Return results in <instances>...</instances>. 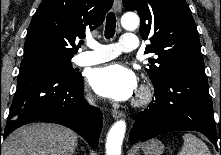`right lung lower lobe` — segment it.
I'll list each match as a JSON object with an SVG mask.
<instances>
[{"instance_id":"1","label":"right lung lower lobe","mask_w":221,"mask_h":155,"mask_svg":"<svg viewBox=\"0 0 221 155\" xmlns=\"http://www.w3.org/2000/svg\"><path fill=\"white\" fill-rule=\"evenodd\" d=\"M82 81L81 75L67 78L47 65H21L4 138L22 125L43 121L69 127L97 147L102 113L84 100Z\"/></svg>"}]
</instances>
